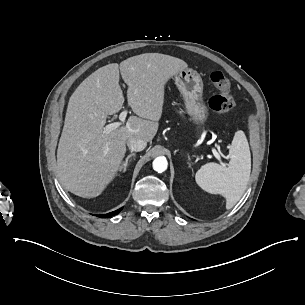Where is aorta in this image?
<instances>
[{
  "label": "aorta",
  "mask_w": 305,
  "mask_h": 305,
  "mask_svg": "<svg viewBox=\"0 0 305 305\" xmlns=\"http://www.w3.org/2000/svg\"><path fill=\"white\" fill-rule=\"evenodd\" d=\"M152 166L156 172L162 173L168 167L167 159L164 156H159L154 159Z\"/></svg>",
  "instance_id": "obj_1"
}]
</instances>
